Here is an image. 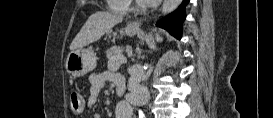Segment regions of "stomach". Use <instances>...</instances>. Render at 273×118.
<instances>
[{
    "instance_id": "1",
    "label": "stomach",
    "mask_w": 273,
    "mask_h": 118,
    "mask_svg": "<svg viewBox=\"0 0 273 118\" xmlns=\"http://www.w3.org/2000/svg\"><path fill=\"white\" fill-rule=\"evenodd\" d=\"M138 28L128 25L125 33L133 36L138 32ZM66 69L73 77H81L93 71L96 67V55L92 48H78L71 51L66 59Z\"/></svg>"
}]
</instances>
